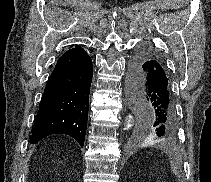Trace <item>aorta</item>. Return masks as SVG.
<instances>
[{
  "mask_svg": "<svg viewBox=\"0 0 211 182\" xmlns=\"http://www.w3.org/2000/svg\"><path fill=\"white\" fill-rule=\"evenodd\" d=\"M133 126V115H129L126 120V128L130 129Z\"/></svg>",
  "mask_w": 211,
  "mask_h": 182,
  "instance_id": "1",
  "label": "aorta"
}]
</instances>
